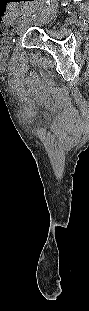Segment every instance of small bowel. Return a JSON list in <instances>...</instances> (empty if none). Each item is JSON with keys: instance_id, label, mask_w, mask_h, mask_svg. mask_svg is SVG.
Segmentation results:
<instances>
[{"instance_id": "obj_1", "label": "small bowel", "mask_w": 89, "mask_h": 311, "mask_svg": "<svg viewBox=\"0 0 89 311\" xmlns=\"http://www.w3.org/2000/svg\"><path fill=\"white\" fill-rule=\"evenodd\" d=\"M16 17V13H11L8 18L13 20Z\"/></svg>"}]
</instances>
